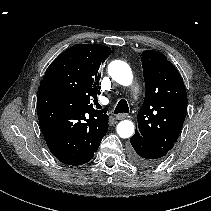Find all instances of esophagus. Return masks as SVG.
I'll list each match as a JSON object with an SVG mask.
<instances>
[{
    "label": "esophagus",
    "instance_id": "1",
    "mask_svg": "<svg viewBox=\"0 0 211 211\" xmlns=\"http://www.w3.org/2000/svg\"><path fill=\"white\" fill-rule=\"evenodd\" d=\"M126 117H127V114H124V113H121V114L116 115V119L117 120H122V119H124Z\"/></svg>",
    "mask_w": 211,
    "mask_h": 211
}]
</instances>
